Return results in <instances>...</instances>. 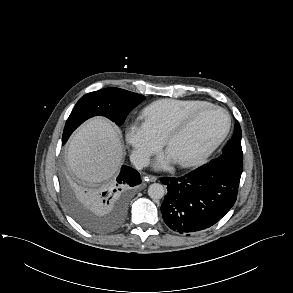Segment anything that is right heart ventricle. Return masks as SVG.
Wrapping results in <instances>:
<instances>
[{
	"label": "right heart ventricle",
	"mask_w": 293,
	"mask_h": 293,
	"mask_svg": "<svg viewBox=\"0 0 293 293\" xmlns=\"http://www.w3.org/2000/svg\"><path fill=\"white\" fill-rule=\"evenodd\" d=\"M209 104L193 99H163L151 103L143 109V117L159 134L165 138L168 131L190 112Z\"/></svg>",
	"instance_id": "1"
}]
</instances>
